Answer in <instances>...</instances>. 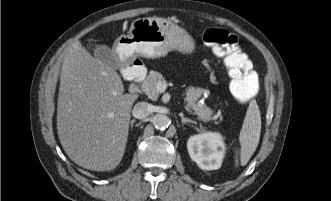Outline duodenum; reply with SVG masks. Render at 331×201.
<instances>
[{
  "label": "duodenum",
  "instance_id": "410a0bca",
  "mask_svg": "<svg viewBox=\"0 0 331 201\" xmlns=\"http://www.w3.org/2000/svg\"><path fill=\"white\" fill-rule=\"evenodd\" d=\"M146 73L145 67L140 59L130 61L125 69V75L130 81L135 82L144 78Z\"/></svg>",
  "mask_w": 331,
  "mask_h": 201
}]
</instances>
